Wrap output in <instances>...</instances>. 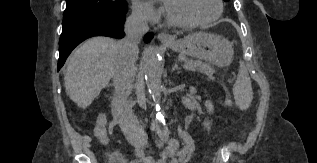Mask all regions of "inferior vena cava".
<instances>
[{"mask_svg":"<svg viewBox=\"0 0 317 163\" xmlns=\"http://www.w3.org/2000/svg\"><path fill=\"white\" fill-rule=\"evenodd\" d=\"M148 30L146 13L141 10H133L124 26L125 38L118 45L119 52L113 75L115 91L111 103L112 114L118 119L128 142L136 148H144L147 145L148 137L134 115L128 97L132 91L136 70L137 42Z\"/></svg>","mask_w":317,"mask_h":163,"instance_id":"602c4592","label":"inferior vena cava"}]
</instances>
